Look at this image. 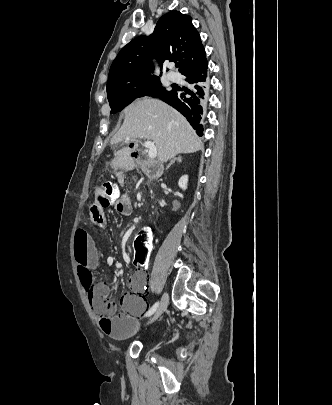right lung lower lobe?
Listing matches in <instances>:
<instances>
[{
	"mask_svg": "<svg viewBox=\"0 0 332 405\" xmlns=\"http://www.w3.org/2000/svg\"><path fill=\"white\" fill-rule=\"evenodd\" d=\"M207 69L208 63L205 58L181 73L186 76V81L192 85V90L185 87H174L159 97L183 114L199 136L203 135L200 120L207 104L209 89Z\"/></svg>",
	"mask_w": 332,
	"mask_h": 405,
	"instance_id": "98d812e1",
	"label": "right lung lower lobe"
}]
</instances>
